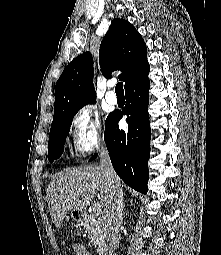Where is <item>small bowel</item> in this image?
<instances>
[{
    "label": "small bowel",
    "instance_id": "obj_1",
    "mask_svg": "<svg viewBox=\"0 0 221 255\" xmlns=\"http://www.w3.org/2000/svg\"><path fill=\"white\" fill-rule=\"evenodd\" d=\"M73 251L75 255H91L86 246L79 242L73 244Z\"/></svg>",
    "mask_w": 221,
    "mask_h": 255
}]
</instances>
